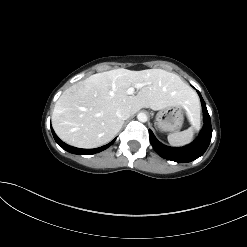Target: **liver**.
<instances>
[{"instance_id": "liver-1", "label": "liver", "mask_w": 247, "mask_h": 247, "mask_svg": "<svg viewBox=\"0 0 247 247\" xmlns=\"http://www.w3.org/2000/svg\"><path fill=\"white\" fill-rule=\"evenodd\" d=\"M137 83L145 86L137 95L128 96L126 90ZM121 106L128 107L131 114L142 108L181 106L188 114L198 106V99L177 74L162 69L119 68L91 75L65 90L55 104L52 125L69 145L99 147L120 131L123 121L116 110Z\"/></svg>"}]
</instances>
